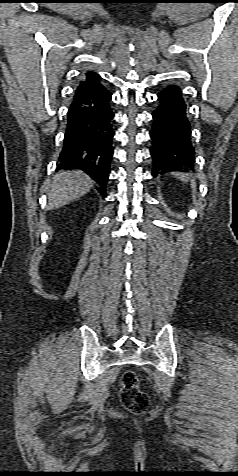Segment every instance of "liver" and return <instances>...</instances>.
<instances>
[{"instance_id": "liver-1", "label": "liver", "mask_w": 238, "mask_h": 476, "mask_svg": "<svg viewBox=\"0 0 238 476\" xmlns=\"http://www.w3.org/2000/svg\"><path fill=\"white\" fill-rule=\"evenodd\" d=\"M94 181L82 171H62L53 177L48 193V210L58 209L84 196Z\"/></svg>"}]
</instances>
